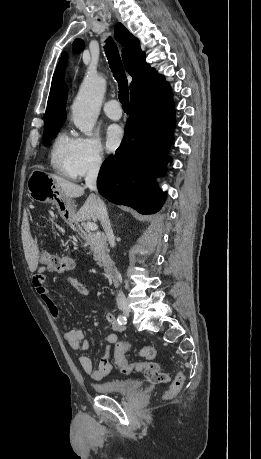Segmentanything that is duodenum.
Returning a JSON list of instances; mask_svg holds the SVG:
<instances>
[{"instance_id":"duodenum-1","label":"duodenum","mask_w":261,"mask_h":459,"mask_svg":"<svg viewBox=\"0 0 261 459\" xmlns=\"http://www.w3.org/2000/svg\"><path fill=\"white\" fill-rule=\"evenodd\" d=\"M78 231V229H77ZM103 268L107 275L112 279L116 280L119 276V270L114 261L111 258H105L103 261Z\"/></svg>"}]
</instances>
